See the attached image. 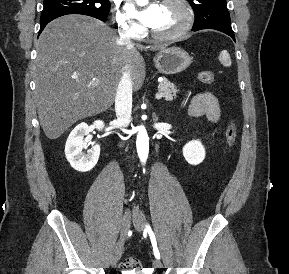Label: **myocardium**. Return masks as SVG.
I'll return each mask as SVG.
<instances>
[{
  "mask_svg": "<svg viewBox=\"0 0 289 274\" xmlns=\"http://www.w3.org/2000/svg\"><path fill=\"white\" fill-rule=\"evenodd\" d=\"M162 4H167V3H177L179 4L183 11H184V21L182 25L176 29L173 32L169 33H160L152 28L149 30L150 34L159 40L163 41H172L179 39L183 37L185 34H187L190 29L192 28L195 20V13L192 4L189 2V0H162Z\"/></svg>",
  "mask_w": 289,
  "mask_h": 274,
  "instance_id": "obj_1",
  "label": "myocardium"
}]
</instances>
